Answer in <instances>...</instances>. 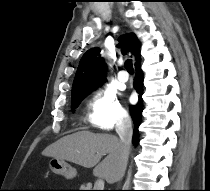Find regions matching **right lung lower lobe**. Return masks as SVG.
Returning <instances> with one entry per match:
<instances>
[{"instance_id": "98d812e1", "label": "right lung lower lobe", "mask_w": 210, "mask_h": 191, "mask_svg": "<svg viewBox=\"0 0 210 191\" xmlns=\"http://www.w3.org/2000/svg\"><path fill=\"white\" fill-rule=\"evenodd\" d=\"M140 56L138 55L136 60V76L134 79V87L138 94H142V83H143V75L140 68ZM140 99V96H139ZM143 105L142 102L139 101L137 105L130 107L131 116L134 122V132H133V141H137L138 137V127L141 123V115H142Z\"/></svg>"}]
</instances>
